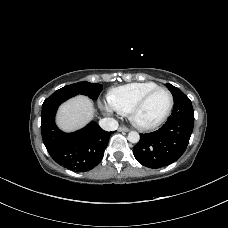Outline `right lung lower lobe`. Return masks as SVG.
Instances as JSON below:
<instances>
[{
    "label": "right lung lower lobe",
    "instance_id": "1",
    "mask_svg": "<svg viewBox=\"0 0 228 228\" xmlns=\"http://www.w3.org/2000/svg\"><path fill=\"white\" fill-rule=\"evenodd\" d=\"M73 96L52 94L42 105L41 132L44 145L58 164L76 171L93 169L103 158L111 132L104 131L95 122L83 129L64 133L55 124L58 106Z\"/></svg>",
    "mask_w": 228,
    "mask_h": 228
}]
</instances>
